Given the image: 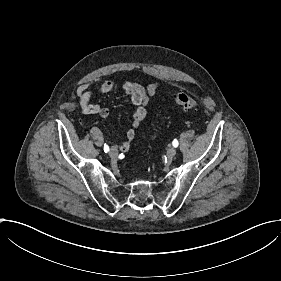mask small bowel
Returning <instances> with one entry per match:
<instances>
[{"instance_id":"obj_1","label":"small bowel","mask_w":281,"mask_h":281,"mask_svg":"<svg viewBox=\"0 0 281 281\" xmlns=\"http://www.w3.org/2000/svg\"><path fill=\"white\" fill-rule=\"evenodd\" d=\"M158 87L159 84L156 82L150 83L146 88L133 81H125L123 83L122 89L130 97L135 110L133 114V127L126 132L128 141L121 144V150H126L129 147V142L134 139V129L140 125L146 114L149 98L157 91ZM114 88L115 83L111 80L104 81L94 88L91 87V83L81 84L77 89V95L82 111L87 114H94L106 118L109 115V110L106 107L91 103V100L94 97L104 96L110 93Z\"/></svg>"}]
</instances>
